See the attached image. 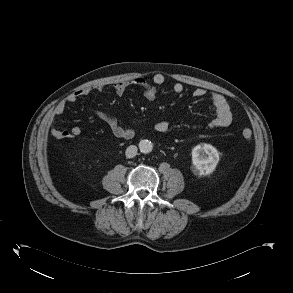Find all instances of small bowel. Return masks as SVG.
<instances>
[{
  "instance_id": "1",
  "label": "small bowel",
  "mask_w": 293,
  "mask_h": 293,
  "mask_svg": "<svg viewBox=\"0 0 293 293\" xmlns=\"http://www.w3.org/2000/svg\"><path fill=\"white\" fill-rule=\"evenodd\" d=\"M165 83V77L161 73H156L153 75L151 81L146 80L142 77H137L130 82H116L113 84L112 88L115 93L119 96L123 95L129 86H135L142 90L143 95L148 100H154L158 95V90L161 85ZM97 91H103V85H97L94 87ZM93 88L84 87L81 88L72 94H70L64 101L58 103L48 114V122L52 124L54 120L61 115L66 107L67 103H74L77 99L87 96L91 93ZM172 90L175 93H182L184 90V86L180 82H175L172 85ZM207 94L206 90L203 88H196L193 91V96L196 98L204 97ZM211 102L215 117L209 123L210 128H226L230 125L232 121V112L230 105L226 98L218 93H214L211 95ZM94 115L105 122L111 133L119 139L128 140L133 137L134 132L132 129L122 126L114 116L108 115L101 111H95ZM155 130L159 133H165L169 129V124L166 121H158L155 124ZM52 134L54 137L62 139V138H74L81 134V128L78 126H74L70 131H59L56 129H52Z\"/></svg>"
}]
</instances>
